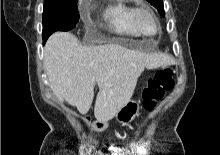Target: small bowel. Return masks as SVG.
I'll return each mask as SVG.
<instances>
[{"mask_svg":"<svg viewBox=\"0 0 220 155\" xmlns=\"http://www.w3.org/2000/svg\"><path fill=\"white\" fill-rule=\"evenodd\" d=\"M129 139L131 140L132 138L130 137ZM110 148H111V147H110ZM110 148H109V151L111 150Z\"/></svg>","mask_w":220,"mask_h":155,"instance_id":"1","label":"small bowel"}]
</instances>
